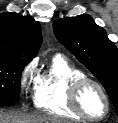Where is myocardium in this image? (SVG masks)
I'll list each match as a JSON object with an SVG mask.
<instances>
[{
  "mask_svg": "<svg viewBox=\"0 0 118 123\" xmlns=\"http://www.w3.org/2000/svg\"><path fill=\"white\" fill-rule=\"evenodd\" d=\"M87 85L95 86L104 98L105 111L100 116L89 115L82 107L81 94ZM69 103L75 113L88 121H98L104 119L109 114L111 107L110 98L104 86L100 82L85 76L78 78L71 83L69 88Z\"/></svg>",
  "mask_w": 118,
  "mask_h": 123,
  "instance_id": "myocardium-1",
  "label": "myocardium"
}]
</instances>
